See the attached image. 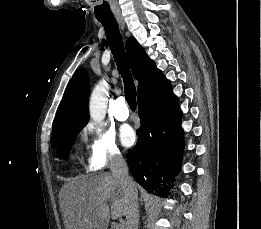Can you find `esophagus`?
<instances>
[{
    "label": "esophagus",
    "instance_id": "1",
    "mask_svg": "<svg viewBox=\"0 0 261 229\" xmlns=\"http://www.w3.org/2000/svg\"><path fill=\"white\" fill-rule=\"evenodd\" d=\"M116 19L121 27V29L123 30L125 28V22H124V18L122 15H116Z\"/></svg>",
    "mask_w": 261,
    "mask_h": 229
}]
</instances>
